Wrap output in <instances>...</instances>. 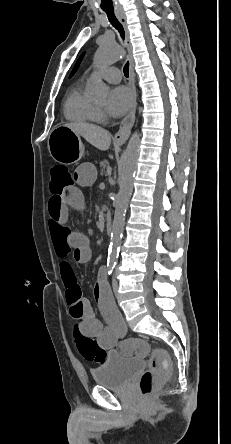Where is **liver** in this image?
<instances>
[{
  "label": "liver",
  "instance_id": "obj_1",
  "mask_svg": "<svg viewBox=\"0 0 231 444\" xmlns=\"http://www.w3.org/2000/svg\"><path fill=\"white\" fill-rule=\"evenodd\" d=\"M64 126L70 128L78 136H82L99 150L106 151L111 145V134L99 126L88 123H70Z\"/></svg>",
  "mask_w": 231,
  "mask_h": 444
}]
</instances>
